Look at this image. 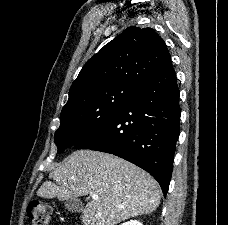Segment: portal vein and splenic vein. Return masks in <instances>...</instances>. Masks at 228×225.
I'll return each mask as SVG.
<instances>
[{"label": "portal vein and splenic vein", "instance_id": "1", "mask_svg": "<svg viewBox=\"0 0 228 225\" xmlns=\"http://www.w3.org/2000/svg\"><path fill=\"white\" fill-rule=\"evenodd\" d=\"M92 199H98V195H91Z\"/></svg>", "mask_w": 228, "mask_h": 225}]
</instances>
